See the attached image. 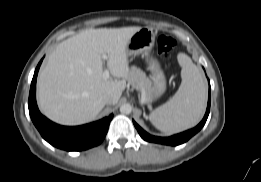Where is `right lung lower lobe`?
Returning a JSON list of instances; mask_svg holds the SVG:
<instances>
[{
    "label": "right lung lower lobe",
    "mask_w": 261,
    "mask_h": 182,
    "mask_svg": "<svg viewBox=\"0 0 261 182\" xmlns=\"http://www.w3.org/2000/svg\"><path fill=\"white\" fill-rule=\"evenodd\" d=\"M42 60L39 62L32 79L29 93V114L41 136L51 145L66 151H81L99 145L107 131L113 114L99 121L77 126H60L43 116L36 103V79Z\"/></svg>",
    "instance_id": "1"
}]
</instances>
